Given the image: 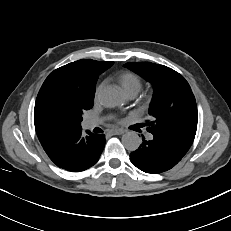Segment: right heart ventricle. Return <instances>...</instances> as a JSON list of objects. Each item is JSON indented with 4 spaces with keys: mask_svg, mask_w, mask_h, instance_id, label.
Instances as JSON below:
<instances>
[{
    "mask_svg": "<svg viewBox=\"0 0 231 231\" xmlns=\"http://www.w3.org/2000/svg\"><path fill=\"white\" fill-rule=\"evenodd\" d=\"M118 82L128 96H135L143 86L140 76L133 72L122 73L118 78Z\"/></svg>",
    "mask_w": 231,
    "mask_h": 231,
    "instance_id": "obj_1",
    "label": "right heart ventricle"
}]
</instances>
